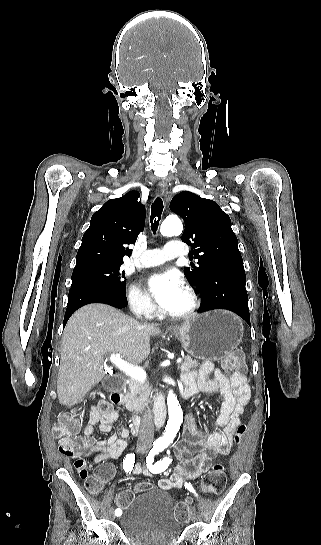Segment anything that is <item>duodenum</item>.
<instances>
[{"label": "duodenum", "instance_id": "1", "mask_svg": "<svg viewBox=\"0 0 321 545\" xmlns=\"http://www.w3.org/2000/svg\"><path fill=\"white\" fill-rule=\"evenodd\" d=\"M105 389L109 392L110 398L113 402L118 403L122 401V391L124 387V380L118 375H110L106 378L104 383ZM166 413V398L164 394L158 395L154 402V411L150 416L153 424L160 428L165 420ZM142 425V419L138 416L132 417L130 421V431L132 435H138Z\"/></svg>", "mask_w": 321, "mask_h": 545}]
</instances>
